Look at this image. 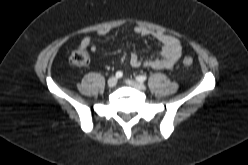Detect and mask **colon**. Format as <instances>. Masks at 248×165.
Here are the masks:
<instances>
[{"label": "colon", "instance_id": "1", "mask_svg": "<svg viewBox=\"0 0 248 165\" xmlns=\"http://www.w3.org/2000/svg\"><path fill=\"white\" fill-rule=\"evenodd\" d=\"M71 65L75 67L86 66L89 62L88 52L85 47L79 45L74 48L69 57ZM193 64V59L191 57H185L183 59V65L185 67H190Z\"/></svg>", "mask_w": 248, "mask_h": 165}]
</instances>
